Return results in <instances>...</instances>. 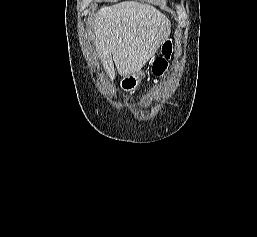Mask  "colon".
<instances>
[{
  "mask_svg": "<svg viewBox=\"0 0 257 237\" xmlns=\"http://www.w3.org/2000/svg\"><path fill=\"white\" fill-rule=\"evenodd\" d=\"M172 41L166 40L161 49V55L155 60L154 67H153V73L156 78L161 77L167 66H168V60L172 53Z\"/></svg>",
  "mask_w": 257,
  "mask_h": 237,
  "instance_id": "colon-1",
  "label": "colon"
}]
</instances>
